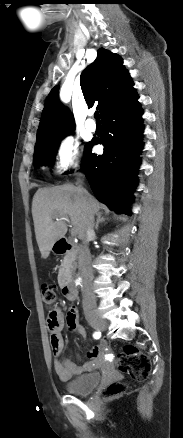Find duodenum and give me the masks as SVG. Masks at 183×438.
Masks as SVG:
<instances>
[{
    "instance_id": "1",
    "label": "duodenum",
    "mask_w": 183,
    "mask_h": 438,
    "mask_svg": "<svg viewBox=\"0 0 183 438\" xmlns=\"http://www.w3.org/2000/svg\"><path fill=\"white\" fill-rule=\"evenodd\" d=\"M56 253L59 255H65L74 251L73 244L66 238H61L55 243ZM62 290L66 295L67 299L70 301H75L77 299V291L75 286L71 281H66L63 284Z\"/></svg>"
}]
</instances>
